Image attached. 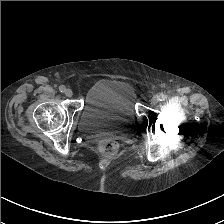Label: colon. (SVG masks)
<instances>
[{"instance_id": "colon-1", "label": "colon", "mask_w": 224, "mask_h": 224, "mask_svg": "<svg viewBox=\"0 0 224 224\" xmlns=\"http://www.w3.org/2000/svg\"><path fill=\"white\" fill-rule=\"evenodd\" d=\"M100 148L106 154H114L118 149V145L114 141L107 140L100 144Z\"/></svg>"}]
</instances>
